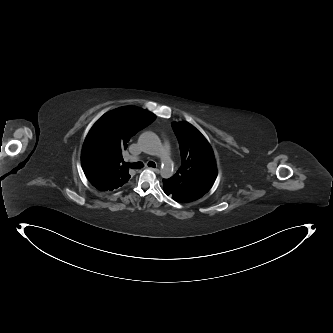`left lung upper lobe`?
<instances>
[{
    "label": "left lung upper lobe",
    "instance_id": "obj_1",
    "mask_svg": "<svg viewBox=\"0 0 333 333\" xmlns=\"http://www.w3.org/2000/svg\"><path fill=\"white\" fill-rule=\"evenodd\" d=\"M172 127L179 141L182 165L167 179L169 194L192 202L206 194L215 182L214 154L205 137L191 124L178 122Z\"/></svg>",
    "mask_w": 333,
    "mask_h": 333
}]
</instances>
